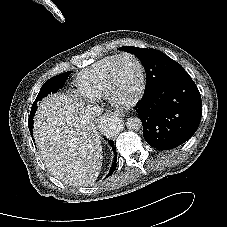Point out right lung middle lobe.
I'll return each mask as SVG.
<instances>
[{"instance_id": "dd1d6c3e", "label": "right lung middle lobe", "mask_w": 227, "mask_h": 227, "mask_svg": "<svg viewBox=\"0 0 227 227\" xmlns=\"http://www.w3.org/2000/svg\"><path fill=\"white\" fill-rule=\"evenodd\" d=\"M70 73H71V71H67V72L62 73L60 75L52 77L43 84L39 94L36 97V100L34 101V103L32 105L31 112H30L28 127H29L31 134H32V131H33L32 130L33 129V116H34L35 111L37 109V107H35L36 101L47 96L48 94L54 93V92L58 91L60 88H62V86L66 82ZM31 136L33 137V135H31Z\"/></svg>"}]
</instances>
